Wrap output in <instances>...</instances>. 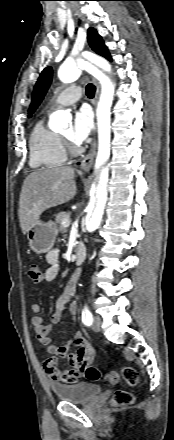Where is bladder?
Here are the masks:
<instances>
[{
    "instance_id": "bladder-1",
    "label": "bladder",
    "mask_w": 174,
    "mask_h": 440,
    "mask_svg": "<svg viewBox=\"0 0 174 440\" xmlns=\"http://www.w3.org/2000/svg\"><path fill=\"white\" fill-rule=\"evenodd\" d=\"M50 387L60 401L72 403H88L101 392L100 386L90 382L52 383Z\"/></svg>"
}]
</instances>
